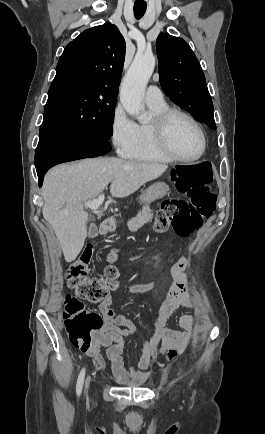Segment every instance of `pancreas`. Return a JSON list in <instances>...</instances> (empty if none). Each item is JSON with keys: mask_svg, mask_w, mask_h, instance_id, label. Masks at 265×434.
I'll return each instance as SVG.
<instances>
[{"mask_svg": "<svg viewBox=\"0 0 265 434\" xmlns=\"http://www.w3.org/2000/svg\"><path fill=\"white\" fill-rule=\"evenodd\" d=\"M153 216V210H151L150 206H143V210L138 212L136 218H132L130 222H127L128 230H130V232H137L144 224L152 222Z\"/></svg>", "mask_w": 265, "mask_h": 434, "instance_id": "cf45deb5", "label": "pancreas"}]
</instances>
